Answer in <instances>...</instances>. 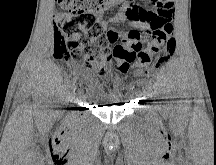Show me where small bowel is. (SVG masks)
Here are the masks:
<instances>
[{
	"label": "small bowel",
	"instance_id": "c3829d8e",
	"mask_svg": "<svg viewBox=\"0 0 216 165\" xmlns=\"http://www.w3.org/2000/svg\"><path fill=\"white\" fill-rule=\"evenodd\" d=\"M148 5H138V2H129L128 0H113V3L109 6H119L120 9L117 14L104 18L103 12L99 14L98 20L105 30V34L108 38L109 44H114L121 34L115 29L109 27L110 23L128 22L135 30H146L149 27L147 20L132 18L129 13H150L158 10H173V0H147ZM126 37V36H125ZM129 68L125 70H118L121 74H126ZM91 87V92L94 95H102L103 91L99 90V83L91 76H87Z\"/></svg>",
	"mask_w": 216,
	"mask_h": 165
}]
</instances>
